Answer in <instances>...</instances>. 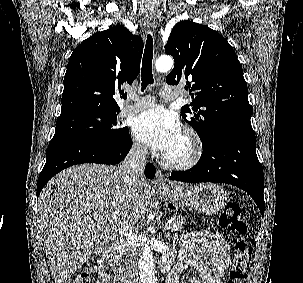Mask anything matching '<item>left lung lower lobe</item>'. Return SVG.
I'll return each mask as SVG.
<instances>
[{
    "instance_id": "1",
    "label": "left lung lower lobe",
    "mask_w": 303,
    "mask_h": 283,
    "mask_svg": "<svg viewBox=\"0 0 303 283\" xmlns=\"http://www.w3.org/2000/svg\"><path fill=\"white\" fill-rule=\"evenodd\" d=\"M170 180L199 183L216 182L237 186L246 191L264 214V179L255 151L251 129L230 128L212 137L203 146L198 163L187 171H174Z\"/></svg>"
}]
</instances>
